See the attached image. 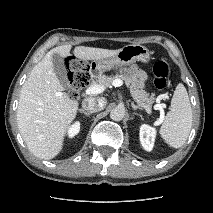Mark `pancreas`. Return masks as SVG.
Instances as JSON below:
<instances>
[{
	"label": "pancreas",
	"mask_w": 213,
	"mask_h": 213,
	"mask_svg": "<svg viewBox=\"0 0 213 213\" xmlns=\"http://www.w3.org/2000/svg\"><path fill=\"white\" fill-rule=\"evenodd\" d=\"M122 78L125 80L127 86L130 89L131 95L133 99L142 107H151L152 104L155 102V95L149 94L145 92L144 90L140 89L139 81L134 77H127L123 75H115L113 77H109L106 75H99L96 79V82L100 85H103L104 87H110L112 85V82L115 79Z\"/></svg>",
	"instance_id": "1"
}]
</instances>
